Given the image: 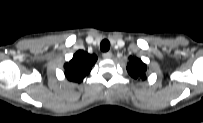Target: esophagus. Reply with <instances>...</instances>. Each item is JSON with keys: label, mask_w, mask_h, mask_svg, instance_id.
<instances>
[{"label": "esophagus", "mask_w": 203, "mask_h": 123, "mask_svg": "<svg viewBox=\"0 0 203 123\" xmlns=\"http://www.w3.org/2000/svg\"><path fill=\"white\" fill-rule=\"evenodd\" d=\"M102 56L104 59H110V58H112V53L111 52H105V53H103Z\"/></svg>", "instance_id": "34e87169"}]
</instances>
